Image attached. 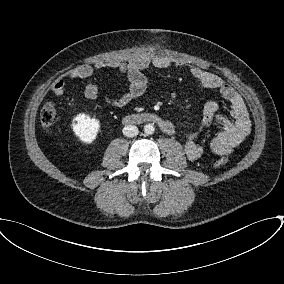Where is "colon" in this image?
Returning <instances> with one entry per match:
<instances>
[{
    "label": "colon",
    "mask_w": 284,
    "mask_h": 284,
    "mask_svg": "<svg viewBox=\"0 0 284 284\" xmlns=\"http://www.w3.org/2000/svg\"><path fill=\"white\" fill-rule=\"evenodd\" d=\"M56 118V108L52 102L46 103L40 112V122L42 127L47 131L50 132L52 130L54 121ZM227 162L226 158H221L216 162L217 167H221L225 165Z\"/></svg>",
    "instance_id": "5ec220e1"
}]
</instances>
